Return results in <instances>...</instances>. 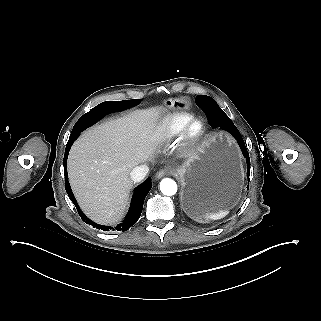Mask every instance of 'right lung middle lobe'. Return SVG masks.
<instances>
[{"instance_id":"right-lung-middle-lobe-1","label":"right lung middle lobe","mask_w":321,"mask_h":321,"mask_svg":"<svg viewBox=\"0 0 321 321\" xmlns=\"http://www.w3.org/2000/svg\"><path fill=\"white\" fill-rule=\"evenodd\" d=\"M140 101H141L140 99L124 100V101H106V102H103V103L97 105L96 107H94L91 110H96L101 107H109V106H113V105H123V104H131V105L135 106L138 103H140ZM90 115H91V113L84 115L82 117L81 121H83L84 119H86V117H88Z\"/></svg>"}]
</instances>
